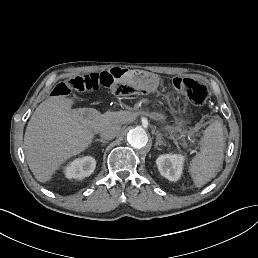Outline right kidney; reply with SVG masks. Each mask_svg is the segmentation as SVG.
<instances>
[{"instance_id":"obj_1","label":"right kidney","mask_w":258,"mask_h":258,"mask_svg":"<svg viewBox=\"0 0 258 258\" xmlns=\"http://www.w3.org/2000/svg\"><path fill=\"white\" fill-rule=\"evenodd\" d=\"M96 159L93 156L77 157L65 165L63 173L65 178L82 180L93 174Z\"/></svg>"}]
</instances>
